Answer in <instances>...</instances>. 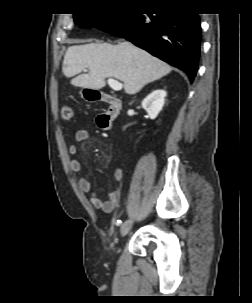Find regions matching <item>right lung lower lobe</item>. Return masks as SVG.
I'll list each match as a JSON object with an SVG mask.
<instances>
[{"instance_id":"right-lung-lower-lobe-1","label":"right lung lower lobe","mask_w":252,"mask_h":303,"mask_svg":"<svg viewBox=\"0 0 252 303\" xmlns=\"http://www.w3.org/2000/svg\"><path fill=\"white\" fill-rule=\"evenodd\" d=\"M100 30L123 37L183 70L191 82L196 76L201 44L198 14L169 9L154 17L135 12Z\"/></svg>"}]
</instances>
